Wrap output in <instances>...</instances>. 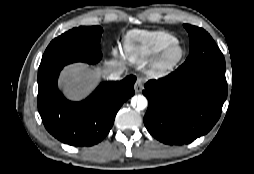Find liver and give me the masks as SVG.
I'll use <instances>...</instances> for the list:
<instances>
[{
	"instance_id": "obj_1",
	"label": "liver",
	"mask_w": 254,
	"mask_h": 174,
	"mask_svg": "<svg viewBox=\"0 0 254 174\" xmlns=\"http://www.w3.org/2000/svg\"><path fill=\"white\" fill-rule=\"evenodd\" d=\"M119 66L123 65L114 61L108 62L103 67L94 69L96 73L94 76L88 65L83 63L72 64L63 70L60 82L68 98L79 99L90 91L97 77H107Z\"/></svg>"
}]
</instances>
